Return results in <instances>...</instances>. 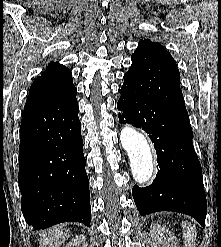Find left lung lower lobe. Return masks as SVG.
<instances>
[{"mask_svg":"<svg viewBox=\"0 0 221 247\" xmlns=\"http://www.w3.org/2000/svg\"><path fill=\"white\" fill-rule=\"evenodd\" d=\"M119 93V121L142 128L157 153L159 169L153 183L132 189L139 213L145 216L158 211L180 212L194 217L204 227L206 196L187 111L137 94L127 76Z\"/></svg>","mask_w":221,"mask_h":247,"instance_id":"1","label":"left lung lower lobe"}]
</instances>
